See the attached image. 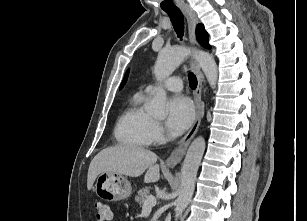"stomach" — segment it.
<instances>
[{
	"mask_svg": "<svg viewBox=\"0 0 307 221\" xmlns=\"http://www.w3.org/2000/svg\"><path fill=\"white\" fill-rule=\"evenodd\" d=\"M94 191L102 199L117 201L130 196L131 185L121 174L104 172L98 175Z\"/></svg>",
	"mask_w": 307,
	"mask_h": 221,
	"instance_id": "stomach-1",
	"label": "stomach"
}]
</instances>
